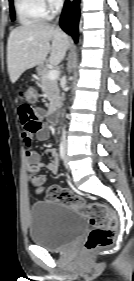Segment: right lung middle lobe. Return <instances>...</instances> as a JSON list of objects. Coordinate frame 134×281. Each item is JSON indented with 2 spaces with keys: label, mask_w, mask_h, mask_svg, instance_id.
Returning <instances> with one entry per match:
<instances>
[{
  "label": "right lung middle lobe",
  "mask_w": 134,
  "mask_h": 281,
  "mask_svg": "<svg viewBox=\"0 0 134 281\" xmlns=\"http://www.w3.org/2000/svg\"><path fill=\"white\" fill-rule=\"evenodd\" d=\"M10 11H11V19L14 20V7H13V0H9Z\"/></svg>",
  "instance_id": "right-lung-middle-lobe-1"
}]
</instances>
